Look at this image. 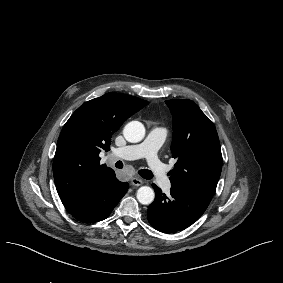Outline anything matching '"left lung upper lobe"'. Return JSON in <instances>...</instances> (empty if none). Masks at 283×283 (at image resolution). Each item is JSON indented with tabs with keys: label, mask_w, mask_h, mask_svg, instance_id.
Returning a JSON list of instances; mask_svg holds the SVG:
<instances>
[{
	"label": "left lung upper lobe",
	"mask_w": 283,
	"mask_h": 283,
	"mask_svg": "<svg viewBox=\"0 0 283 283\" xmlns=\"http://www.w3.org/2000/svg\"><path fill=\"white\" fill-rule=\"evenodd\" d=\"M173 118L172 186L210 202L222 169L220 142L214 124L191 100H167Z\"/></svg>",
	"instance_id": "left-lung-upper-lobe-1"
}]
</instances>
